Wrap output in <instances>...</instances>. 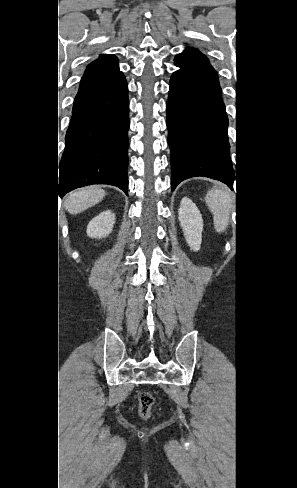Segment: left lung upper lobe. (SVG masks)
<instances>
[{
	"instance_id": "obj_1",
	"label": "left lung upper lobe",
	"mask_w": 297,
	"mask_h": 488,
	"mask_svg": "<svg viewBox=\"0 0 297 488\" xmlns=\"http://www.w3.org/2000/svg\"><path fill=\"white\" fill-rule=\"evenodd\" d=\"M175 65L180 67V72L186 77L196 81L203 87L222 96L218 75L209 60L197 49L186 50L175 57Z\"/></svg>"
}]
</instances>
